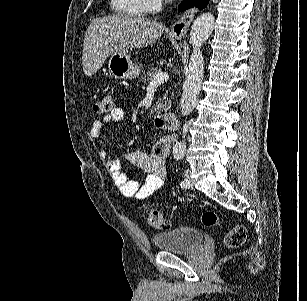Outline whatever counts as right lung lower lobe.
<instances>
[{
  "mask_svg": "<svg viewBox=\"0 0 307 301\" xmlns=\"http://www.w3.org/2000/svg\"><path fill=\"white\" fill-rule=\"evenodd\" d=\"M209 0H186L179 6V10L183 11L193 6L198 7L199 9L204 8Z\"/></svg>",
  "mask_w": 307,
  "mask_h": 301,
  "instance_id": "98d812e1",
  "label": "right lung lower lobe"
}]
</instances>
